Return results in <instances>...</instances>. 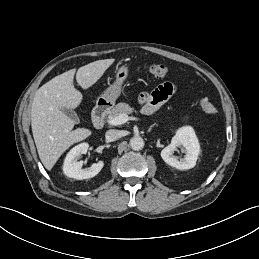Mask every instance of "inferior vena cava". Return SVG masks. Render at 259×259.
Wrapping results in <instances>:
<instances>
[{
  "label": "inferior vena cava",
  "mask_w": 259,
  "mask_h": 259,
  "mask_svg": "<svg viewBox=\"0 0 259 259\" xmlns=\"http://www.w3.org/2000/svg\"><path fill=\"white\" fill-rule=\"evenodd\" d=\"M121 137V132L119 130H108L105 133V138L107 141H116Z\"/></svg>",
  "instance_id": "obj_1"
}]
</instances>
